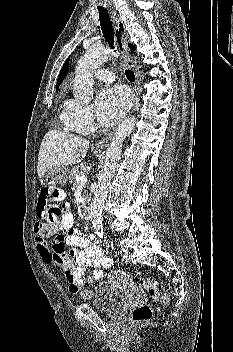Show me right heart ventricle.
<instances>
[{
  "instance_id": "e07e8e85",
  "label": "right heart ventricle",
  "mask_w": 233,
  "mask_h": 352,
  "mask_svg": "<svg viewBox=\"0 0 233 352\" xmlns=\"http://www.w3.org/2000/svg\"><path fill=\"white\" fill-rule=\"evenodd\" d=\"M60 119L68 131L78 132V130L76 129L75 123H74V119H73V115H72L70 106H69V101H66L64 103L63 110L60 114Z\"/></svg>"
}]
</instances>
